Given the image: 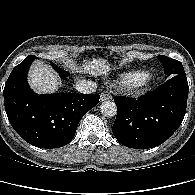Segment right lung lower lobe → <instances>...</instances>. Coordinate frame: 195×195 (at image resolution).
Instances as JSON below:
<instances>
[{
  "instance_id": "1",
  "label": "right lung lower lobe",
  "mask_w": 195,
  "mask_h": 195,
  "mask_svg": "<svg viewBox=\"0 0 195 195\" xmlns=\"http://www.w3.org/2000/svg\"><path fill=\"white\" fill-rule=\"evenodd\" d=\"M35 58L27 56L12 70L3 91L5 110L12 127L26 142L40 148H59L73 139L81 118L98 104L100 95L34 93L27 73Z\"/></svg>"
}]
</instances>
